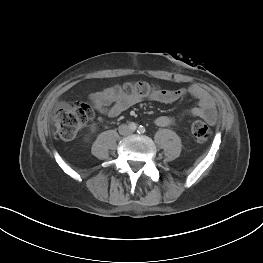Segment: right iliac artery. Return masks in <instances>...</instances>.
I'll return each instance as SVG.
<instances>
[{
	"instance_id": "82829eb1",
	"label": "right iliac artery",
	"mask_w": 263,
	"mask_h": 263,
	"mask_svg": "<svg viewBox=\"0 0 263 263\" xmlns=\"http://www.w3.org/2000/svg\"><path fill=\"white\" fill-rule=\"evenodd\" d=\"M129 128H130V130L135 131L137 129V125L132 122L129 124Z\"/></svg>"
}]
</instances>
